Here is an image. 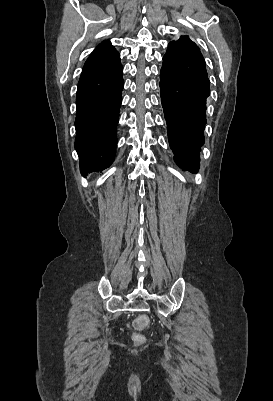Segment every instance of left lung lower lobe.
<instances>
[{
    "mask_svg": "<svg viewBox=\"0 0 273 401\" xmlns=\"http://www.w3.org/2000/svg\"><path fill=\"white\" fill-rule=\"evenodd\" d=\"M160 94L174 160L184 171L197 172L210 83L200 49L188 36L168 45L160 71Z\"/></svg>",
    "mask_w": 273,
    "mask_h": 401,
    "instance_id": "left-lung-lower-lobe-1",
    "label": "left lung lower lobe"
}]
</instances>
